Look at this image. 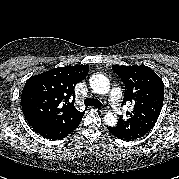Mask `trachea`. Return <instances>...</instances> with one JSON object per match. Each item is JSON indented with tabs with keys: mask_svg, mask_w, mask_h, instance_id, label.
I'll list each match as a JSON object with an SVG mask.
<instances>
[{
	"mask_svg": "<svg viewBox=\"0 0 179 179\" xmlns=\"http://www.w3.org/2000/svg\"><path fill=\"white\" fill-rule=\"evenodd\" d=\"M84 103H85L86 106H93V107H96V108L101 106L100 101L98 99H95V98H87Z\"/></svg>",
	"mask_w": 179,
	"mask_h": 179,
	"instance_id": "1",
	"label": "trachea"
}]
</instances>
